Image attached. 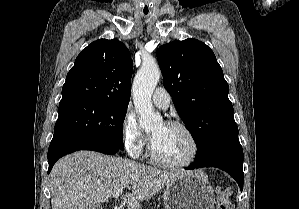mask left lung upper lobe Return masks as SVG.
Returning <instances> with one entry per match:
<instances>
[{"label": "left lung upper lobe", "mask_w": 299, "mask_h": 209, "mask_svg": "<svg viewBox=\"0 0 299 209\" xmlns=\"http://www.w3.org/2000/svg\"><path fill=\"white\" fill-rule=\"evenodd\" d=\"M163 84L192 134L199 157L218 136L236 126L229 86L213 51L196 39L157 50Z\"/></svg>", "instance_id": "5c2ea615"}]
</instances>
